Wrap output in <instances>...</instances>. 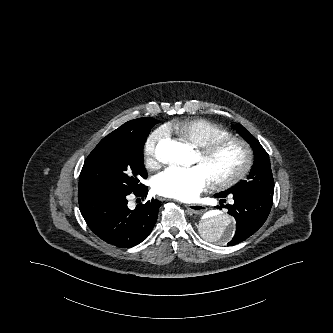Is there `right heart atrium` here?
Listing matches in <instances>:
<instances>
[{"instance_id":"1","label":"right heart atrium","mask_w":333,"mask_h":333,"mask_svg":"<svg viewBox=\"0 0 333 333\" xmlns=\"http://www.w3.org/2000/svg\"><path fill=\"white\" fill-rule=\"evenodd\" d=\"M163 136L164 133L162 130H156L147 138L143 147L144 163L147 168H155L158 166L157 146L163 139Z\"/></svg>"}]
</instances>
